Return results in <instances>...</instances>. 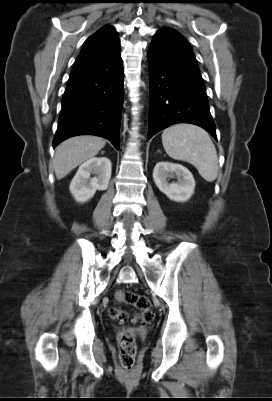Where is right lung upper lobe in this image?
Masks as SVG:
<instances>
[{
  "label": "right lung upper lobe",
  "mask_w": 272,
  "mask_h": 401,
  "mask_svg": "<svg viewBox=\"0 0 272 401\" xmlns=\"http://www.w3.org/2000/svg\"><path fill=\"white\" fill-rule=\"evenodd\" d=\"M119 46V38L115 29L110 25L102 27L85 41L71 73L103 59Z\"/></svg>",
  "instance_id": "right-lung-upper-lobe-1"
}]
</instances>
